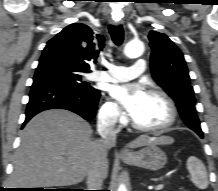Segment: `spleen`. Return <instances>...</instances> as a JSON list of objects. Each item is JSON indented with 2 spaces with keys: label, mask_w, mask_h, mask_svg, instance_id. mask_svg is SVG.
<instances>
[{
  "label": "spleen",
  "mask_w": 218,
  "mask_h": 191,
  "mask_svg": "<svg viewBox=\"0 0 218 191\" xmlns=\"http://www.w3.org/2000/svg\"><path fill=\"white\" fill-rule=\"evenodd\" d=\"M187 169L191 175L193 184L199 189L208 187L207 172L201 160L195 156H190L187 160Z\"/></svg>",
  "instance_id": "obj_1"
}]
</instances>
